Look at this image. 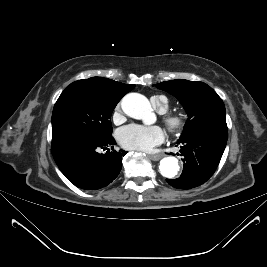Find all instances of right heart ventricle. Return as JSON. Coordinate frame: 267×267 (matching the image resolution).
<instances>
[{"label":"right heart ventricle","mask_w":267,"mask_h":267,"mask_svg":"<svg viewBox=\"0 0 267 267\" xmlns=\"http://www.w3.org/2000/svg\"><path fill=\"white\" fill-rule=\"evenodd\" d=\"M151 103L160 112H165L169 107L168 99L162 95L153 96Z\"/></svg>","instance_id":"e07e8e85"}]
</instances>
